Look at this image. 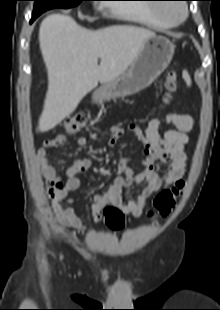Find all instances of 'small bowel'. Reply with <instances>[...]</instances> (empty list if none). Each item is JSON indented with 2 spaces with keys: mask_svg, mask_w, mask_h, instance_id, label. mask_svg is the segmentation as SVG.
<instances>
[{
  "mask_svg": "<svg viewBox=\"0 0 220 310\" xmlns=\"http://www.w3.org/2000/svg\"><path fill=\"white\" fill-rule=\"evenodd\" d=\"M163 123L173 125L176 129L167 131L163 136L159 129ZM193 128V118L185 113L172 112L160 118L149 121L142 129L139 125L132 124L128 130L132 132L145 147L143 166L141 171L136 172L127 158H117V177L113 184L101 195H94L89 204L93 219L97 222L100 219L101 210L107 205L118 207L124 214L138 218L142 215L146 201L155 192L167 189L181 180L187 166V155L185 146L189 141L188 132ZM125 129L113 125L109 130L107 138L108 146L112 147L123 136ZM66 137L58 134L55 137L45 140L37 151V160L43 172L50 179H56L63 183V187L54 195L53 210L59 221L66 227L82 230L84 226L81 219L71 207L73 199L69 193L77 190L81 185L80 173L89 169L92 160L89 158L76 159L66 171V178L62 180L57 176L54 167L49 159L50 150L65 144ZM77 144L86 147L88 141L85 137H79ZM160 160L167 167L164 175L158 174L153 165ZM88 181L91 177L87 176ZM133 184H144L143 188L135 195L124 201L123 188H129Z\"/></svg>",
  "mask_w": 220,
  "mask_h": 310,
  "instance_id": "c3829d8e",
  "label": "small bowel"
}]
</instances>
